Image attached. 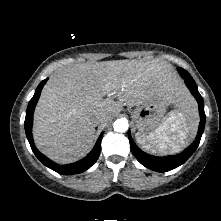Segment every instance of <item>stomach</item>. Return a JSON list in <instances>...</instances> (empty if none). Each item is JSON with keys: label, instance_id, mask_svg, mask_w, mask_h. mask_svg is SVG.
<instances>
[{"label": "stomach", "instance_id": "stomach-1", "mask_svg": "<svg viewBox=\"0 0 221 221\" xmlns=\"http://www.w3.org/2000/svg\"><path fill=\"white\" fill-rule=\"evenodd\" d=\"M169 105L165 97H155L138 106L132 114L137 133L145 136L156 134L167 118L166 110Z\"/></svg>", "mask_w": 221, "mask_h": 221}]
</instances>
